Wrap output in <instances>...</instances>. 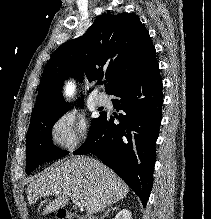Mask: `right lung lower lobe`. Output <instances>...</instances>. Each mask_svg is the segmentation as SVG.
I'll return each mask as SVG.
<instances>
[{"mask_svg":"<svg viewBox=\"0 0 211 219\" xmlns=\"http://www.w3.org/2000/svg\"><path fill=\"white\" fill-rule=\"evenodd\" d=\"M117 110L106 112L89 132L86 142L74 154L92 153L114 170L138 195L143 206L152 190L156 161L155 143L162 119V79L157 60L113 90Z\"/></svg>","mask_w":211,"mask_h":219,"instance_id":"right-lung-lower-lobe-1","label":"right lung lower lobe"}]
</instances>
